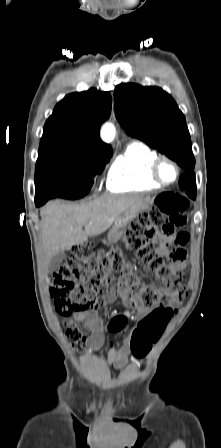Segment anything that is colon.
<instances>
[{
	"label": "colon",
	"instance_id": "5ec220e1",
	"mask_svg": "<svg viewBox=\"0 0 221 448\" xmlns=\"http://www.w3.org/2000/svg\"><path fill=\"white\" fill-rule=\"evenodd\" d=\"M188 208L186 197L175 192L161 193L155 198V208L132 220L124 233L125 247L146 265L157 284L143 282L132 274L118 250L111 253L99 251L95 255L90 245H77L49 278V294L55 311L66 316L93 307L110 270L125 271V282L132 298L153 309L150 316L140 321L131 337L134 354L140 358L146 356L151 343L159 340L174 315V304L187 292L183 272L155 249L159 235L152 228L161 226L165 236L174 235L186 224ZM64 331L74 347L82 346L84 336L78 327L67 323Z\"/></svg>",
	"mask_w": 221,
	"mask_h": 448
}]
</instances>
